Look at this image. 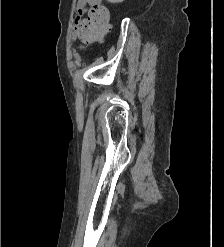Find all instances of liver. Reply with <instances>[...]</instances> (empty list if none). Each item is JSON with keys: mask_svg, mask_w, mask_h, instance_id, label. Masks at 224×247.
Masks as SVG:
<instances>
[{"mask_svg": "<svg viewBox=\"0 0 224 247\" xmlns=\"http://www.w3.org/2000/svg\"><path fill=\"white\" fill-rule=\"evenodd\" d=\"M111 4H118V2H124V0H108Z\"/></svg>", "mask_w": 224, "mask_h": 247, "instance_id": "1", "label": "liver"}]
</instances>
